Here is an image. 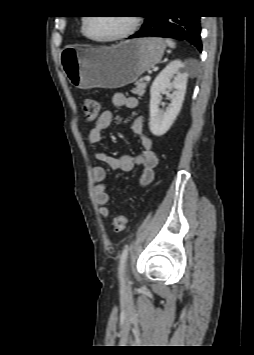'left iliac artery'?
<instances>
[{"label": "left iliac artery", "mask_w": 254, "mask_h": 355, "mask_svg": "<svg viewBox=\"0 0 254 355\" xmlns=\"http://www.w3.org/2000/svg\"><path fill=\"white\" fill-rule=\"evenodd\" d=\"M128 252H129V248L126 247V248L122 251V254H121V256H120L119 274H120V278H121L122 281H123L122 273H123V270H124V267H125L126 259H127V257H128Z\"/></svg>", "instance_id": "obj_1"}]
</instances>
